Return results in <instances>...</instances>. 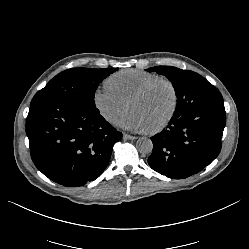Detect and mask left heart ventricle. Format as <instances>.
<instances>
[{
    "mask_svg": "<svg viewBox=\"0 0 249 249\" xmlns=\"http://www.w3.org/2000/svg\"><path fill=\"white\" fill-rule=\"evenodd\" d=\"M172 105L173 95L170 87L166 84H160L147 95L131 102L128 108L141 116L149 130L159 125L167 117Z\"/></svg>",
    "mask_w": 249,
    "mask_h": 249,
    "instance_id": "left-heart-ventricle-1",
    "label": "left heart ventricle"
}]
</instances>
